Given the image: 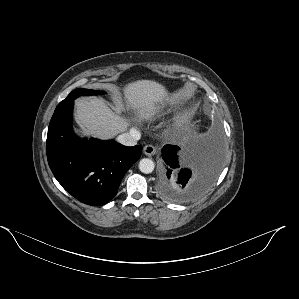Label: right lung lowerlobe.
Segmentation results:
<instances>
[{"instance_id": "1", "label": "right lung lower lobe", "mask_w": 299, "mask_h": 299, "mask_svg": "<svg viewBox=\"0 0 299 299\" xmlns=\"http://www.w3.org/2000/svg\"><path fill=\"white\" fill-rule=\"evenodd\" d=\"M74 101L55 109L47 134V159L55 178L79 201L99 206L118 191L142 146L125 147L113 140H81L72 131Z\"/></svg>"}]
</instances>
